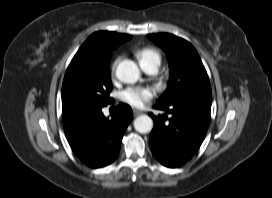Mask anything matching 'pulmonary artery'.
<instances>
[{"mask_svg":"<svg viewBox=\"0 0 272 198\" xmlns=\"http://www.w3.org/2000/svg\"><path fill=\"white\" fill-rule=\"evenodd\" d=\"M148 74H155L158 71L159 65L157 63H150L142 66Z\"/></svg>","mask_w":272,"mask_h":198,"instance_id":"1","label":"pulmonary artery"}]
</instances>
